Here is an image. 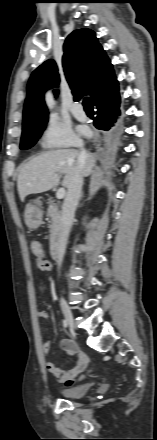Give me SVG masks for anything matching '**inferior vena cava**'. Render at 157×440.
<instances>
[{"label": "inferior vena cava", "mask_w": 157, "mask_h": 440, "mask_svg": "<svg viewBox=\"0 0 157 440\" xmlns=\"http://www.w3.org/2000/svg\"><path fill=\"white\" fill-rule=\"evenodd\" d=\"M74 146L80 148L79 163L75 175L72 179V182L68 187V192L62 207L61 226L59 230L58 245H57L58 268H60L62 264L69 232L73 223L75 210L78 205V201L80 199L81 189L83 184L82 166L85 157L83 142L76 141L74 143Z\"/></svg>", "instance_id": "602c4592"}]
</instances>
